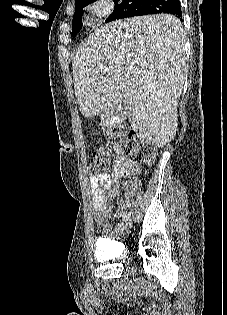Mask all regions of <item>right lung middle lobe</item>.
Returning a JSON list of instances; mask_svg holds the SVG:
<instances>
[{
  "label": "right lung middle lobe",
  "instance_id": "1",
  "mask_svg": "<svg viewBox=\"0 0 227 315\" xmlns=\"http://www.w3.org/2000/svg\"><path fill=\"white\" fill-rule=\"evenodd\" d=\"M96 0H76V10L72 22L71 36H75L81 29V20L83 8ZM146 0H114L115 7L113 13L106 19L105 22L120 19L126 8L140 7Z\"/></svg>",
  "mask_w": 227,
  "mask_h": 315
}]
</instances>
